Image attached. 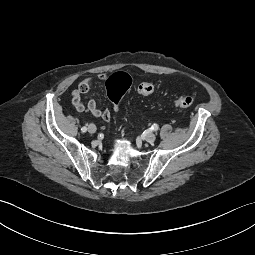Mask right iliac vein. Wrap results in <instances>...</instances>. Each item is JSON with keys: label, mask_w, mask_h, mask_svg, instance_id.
Returning <instances> with one entry per match:
<instances>
[{"label": "right iliac vein", "mask_w": 255, "mask_h": 255, "mask_svg": "<svg viewBox=\"0 0 255 255\" xmlns=\"http://www.w3.org/2000/svg\"><path fill=\"white\" fill-rule=\"evenodd\" d=\"M88 131L91 134L95 133L96 132V126L94 124H89Z\"/></svg>", "instance_id": "right-iliac-vein-1"}]
</instances>
